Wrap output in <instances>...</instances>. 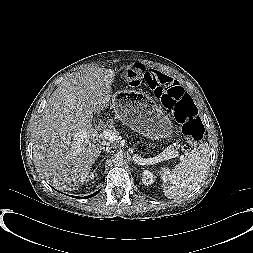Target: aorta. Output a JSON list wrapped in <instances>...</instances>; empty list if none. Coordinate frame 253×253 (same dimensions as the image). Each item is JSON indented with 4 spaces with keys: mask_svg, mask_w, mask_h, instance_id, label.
I'll return each instance as SVG.
<instances>
[{
    "mask_svg": "<svg viewBox=\"0 0 253 253\" xmlns=\"http://www.w3.org/2000/svg\"><path fill=\"white\" fill-rule=\"evenodd\" d=\"M113 163L115 166H122L124 164L123 156L119 154L115 156V158L113 159Z\"/></svg>",
    "mask_w": 253,
    "mask_h": 253,
    "instance_id": "762f6f07",
    "label": "aorta"
}]
</instances>
